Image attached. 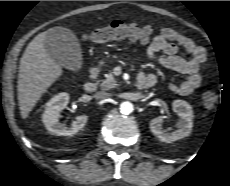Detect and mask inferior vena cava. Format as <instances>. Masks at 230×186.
Here are the masks:
<instances>
[{
	"label": "inferior vena cava",
	"instance_id": "inferior-vena-cava-1",
	"mask_svg": "<svg viewBox=\"0 0 230 186\" xmlns=\"http://www.w3.org/2000/svg\"><path fill=\"white\" fill-rule=\"evenodd\" d=\"M110 96H111V94L107 93V92H97L95 94V97L98 99H106V98H109Z\"/></svg>",
	"mask_w": 230,
	"mask_h": 186
}]
</instances>
